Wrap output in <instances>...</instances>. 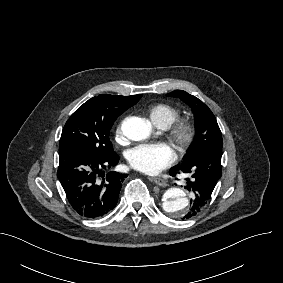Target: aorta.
Returning a JSON list of instances; mask_svg holds the SVG:
<instances>
[{
    "mask_svg": "<svg viewBox=\"0 0 283 283\" xmlns=\"http://www.w3.org/2000/svg\"><path fill=\"white\" fill-rule=\"evenodd\" d=\"M123 134L133 141L148 138L152 131L151 123L140 117L126 118L121 126ZM163 210L171 217H182L189 208L188 194L181 188H170L163 194Z\"/></svg>",
    "mask_w": 283,
    "mask_h": 283,
    "instance_id": "1",
    "label": "aorta"
}]
</instances>
